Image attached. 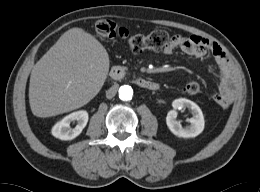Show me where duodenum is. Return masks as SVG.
<instances>
[{"label":"duodenum","mask_w":260,"mask_h":192,"mask_svg":"<svg viewBox=\"0 0 260 192\" xmlns=\"http://www.w3.org/2000/svg\"><path fill=\"white\" fill-rule=\"evenodd\" d=\"M110 77L114 81H120L125 78V72L120 67H113L110 71ZM133 83L136 86L149 91H156L159 89L158 83L142 77L134 78Z\"/></svg>","instance_id":"obj_1"}]
</instances>
